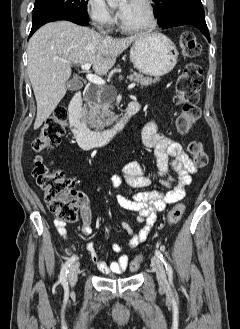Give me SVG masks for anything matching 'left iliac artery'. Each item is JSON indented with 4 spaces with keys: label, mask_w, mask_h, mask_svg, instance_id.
I'll use <instances>...</instances> for the list:
<instances>
[{
    "label": "left iliac artery",
    "mask_w": 240,
    "mask_h": 329,
    "mask_svg": "<svg viewBox=\"0 0 240 329\" xmlns=\"http://www.w3.org/2000/svg\"><path fill=\"white\" fill-rule=\"evenodd\" d=\"M155 254H156V256H158V257L160 258V260L164 263L168 276H172V274H173V270H172L170 264L165 260V257L163 256L162 252L159 251V250H156V251H155Z\"/></svg>",
    "instance_id": "left-iliac-artery-1"
}]
</instances>
